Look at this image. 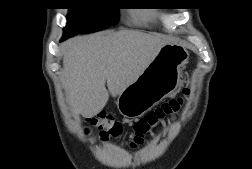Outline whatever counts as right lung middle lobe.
I'll return each instance as SVG.
<instances>
[{
	"label": "right lung middle lobe",
	"mask_w": 252,
	"mask_h": 169,
	"mask_svg": "<svg viewBox=\"0 0 252 169\" xmlns=\"http://www.w3.org/2000/svg\"><path fill=\"white\" fill-rule=\"evenodd\" d=\"M113 0H69L67 25L64 28V38L78 33H90L105 29L116 24L118 8Z\"/></svg>",
	"instance_id": "1"
}]
</instances>
